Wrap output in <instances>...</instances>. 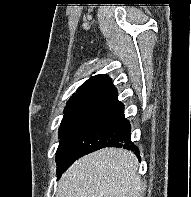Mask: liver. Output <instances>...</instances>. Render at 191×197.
<instances>
[{
	"mask_svg": "<svg viewBox=\"0 0 191 197\" xmlns=\"http://www.w3.org/2000/svg\"><path fill=\"white\" fill-rule=\"evenodd\" d=\"M138 159L128 150L105 148L77 160L62 175L57 197H142Z\"/></svg>",
	"mask_w": 191,
	"mask_h": 197,
	"instance_id": "6515ba94",
	"label": "liver"
}]
</instances>
